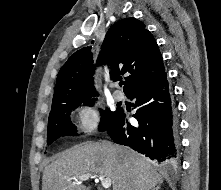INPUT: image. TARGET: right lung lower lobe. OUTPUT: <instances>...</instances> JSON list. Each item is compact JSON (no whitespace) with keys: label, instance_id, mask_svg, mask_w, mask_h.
<instances>
[{"label":"right lung lower lobe","instance_id":"right-lung-lower-lobe-1","mask_svg":"<svg viewBox=\"0 0 221 190\" xmlns=\"http://www.w3.org/2000/svg\"><path fill=\"white\" fill-rule=\"evenodd\" d=\"M126 96L136 99L133 107L138 126L131 125L120 109L106 132L115 143L129 146L159 164L176 165L180 148L178 120L166 72Z\"/></svg>","mask_w":221,"mask_h":190}]
</instances>
